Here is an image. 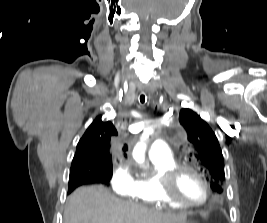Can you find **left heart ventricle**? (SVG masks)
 Returning <instances> with one entry per match:
<instances>
[{"label": "left heart ventricle", "mask_w": 267, "mask_h": 223, "mask_svg": "<svg viewBox=\"0 0 267 223\" xmlns=\"http://www.w3.org/2000/svg\"><path fill=\"white\" fill-rule=\"evenodd\" d=\"M175 189L180 197L188 201L199 202L205 196L204 184L196 174L190 171H184L180 174Z\"/></svg>", "instance_id": "left-heart-ventricle-1"}]
</instances>
